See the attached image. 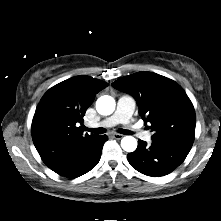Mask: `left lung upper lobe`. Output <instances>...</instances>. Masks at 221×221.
Here are the masks:
<instances>
[{
    "label": "left lung upper lobe",
    "instance_id": "5c2ea615",
    "mask_svg": "<svg viewBox=\"0 0 221 221\" xmlns=\"http://www.w3.org/2000/svg\"><path fill=\"white\" fill-rule=\"evenodd\" d=\"M112 86L136 99L139 114L154 132L153 141L191 149L195 138V111L185 91L175 81L142 71L122 77Z\"/></svg>",
    "mask_w": 221,
    "mask_h": 221
}]
</instances>
